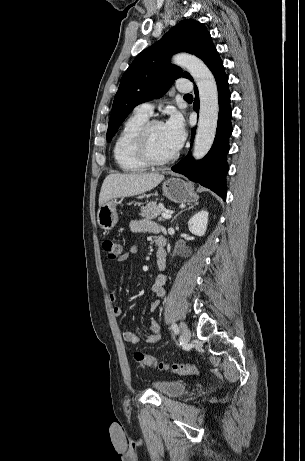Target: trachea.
<instances>
[{"mask_svg": "<svg viewBox=\"0 0 305 461\" xmlns=\"http://www.w3.org/2000/svg\"><path fill=\"white\" fill-rule=\"evenodd\" d=\"M184 97H185V98H187V97H192V95H191V94H186Z\"/></svg>", "mask_w": 305, "mask_h": 461, "instance_id": "1", "label": "trachea"}]
</instances>
